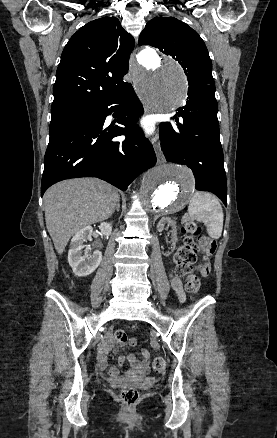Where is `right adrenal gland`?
I'll return each instance as SVG.
<instances>
[{
  "mask_svg": "<svg viewBox=\"0 0 277 438\" xmlns=\"http://www.w3.org/2000/svg\"><path fill=\"white\" fill-rule=\"evenodd\" d=\"M119 208H120V204H119V202H117L116 212H119Z\"/></svg>",
  "mask_w": 277,
  "mask_h": 438,
  "instance_id": "1",
  "label": "right adrenal gland"
}]
</instances>
